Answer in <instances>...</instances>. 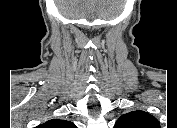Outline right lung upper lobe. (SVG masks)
<instances>
[{
    "label": "right lung upper lobe",
    "mask_w": 177,
    "mask_h": 128,
    "mask_svg": "<svg viewBox=\"0 0 177 128\" xmlns=\"http://www.w3.org/2000/svg\"><path fill=\"white\" fill-rule=\"evenodd\" d=\"M39 128H76V126L67 120L52 119L39 125Z\"/></svg>",
    "instance_id": "1"
}]
</instances>
